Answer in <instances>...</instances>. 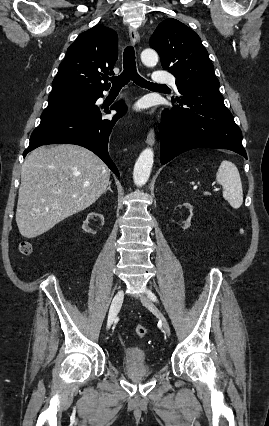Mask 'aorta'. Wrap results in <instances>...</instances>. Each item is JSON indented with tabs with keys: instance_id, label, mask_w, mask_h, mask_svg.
<instances>
[{
	"instance_id": "aorta-1",
	"label": "aorta",
	"mask_w": 269,
	"mask_h": 426,
	"mask_svg": "<svg viewBox=\"0 0 269 426\" xmlns=\"http://www.w3.org/2000/svg\"><path fill=\"white\" fill-rule=\"evenodd\" d=\"M141 61L146 66H155L158 62V54L153 49H145L141 53ZM154 162V152L151 148L144 149L134 166L133 180L136 186H143L147 183Z\"/></svg>"
}]
</instances>
